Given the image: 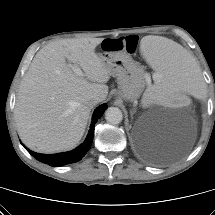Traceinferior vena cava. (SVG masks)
I'll use <instances>...</instances> for the list:
<instances>
[{
    "label": "inferior vena cava",
    "mask_w": 215,
    "mask_h": 215,
    "mask_svg": "<svg viewBox=\"0 0 215 215\" xmlns=\"http://www.w3.org/2000/svg\"><path fill=\"white\" fill-rule=\"evenodd\" d=\"M101 102V98L99 96H93L91 100L88 102V105L93 108L96 104Z\"/></svg>",
    "instance_id": "1"
}]
</instances>
